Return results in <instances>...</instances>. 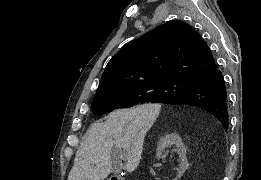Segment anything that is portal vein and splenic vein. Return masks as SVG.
<instances>
[{
    "mask_svg": "<svg viewBox=\"0 0 261 180\" xmlns=\"http://www.w3.org/2000/svg\"><path fill=\"white\" fill-rule=\"evenodd\" d=\"M121 156H126V150L125 148H123L122 152H121Z\"/></svg>",
    "mask_w": 261,
    "mask_h": 180,
    "instance_id": "portal-vein-and-splenic-vein-1",
    "label": "portal vein and splenic vein"
}]
</instances>
